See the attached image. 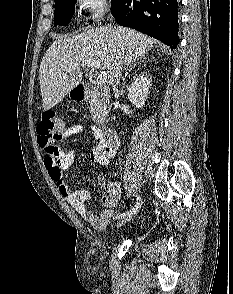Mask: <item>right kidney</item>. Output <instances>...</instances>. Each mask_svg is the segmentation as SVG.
<instances>
[{
	"instance_id": "obj_1",
	"label": "right kidney",
	"mask_w": 233,
	"mask_h": 294,
	"mask_svg": "<svg viewBox=\"0 0 233 294\" xmlns=\"http://www.w3.org/2000/svg\"><path fill=\"white\" fill-rule=\"evenodd\" d=\"M152 80L148 75H139L129 87L128 99L137 108H142L148 98Z\"/></svg>"
}]
</instances>
